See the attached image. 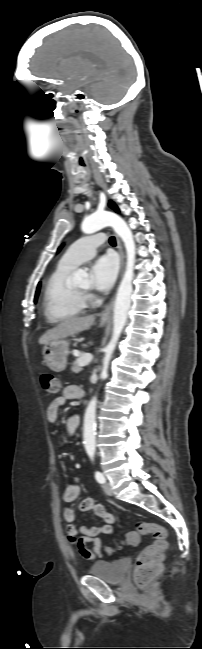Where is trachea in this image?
Instances as JSON below:
<instances>
[{
	"mask_svg": "<svg viewBox=\"0 0 202 649\" xmlns=\"http://www.w3.org/2000/svg\"><path fill=\"white\" fill-rule=\"evenodd\" d=\"M109 243H110L112 246H115V245H116V240H115V238H114V237H110V238H109Z\"/></svg>",
	"mask_w": 202,
	"mask_h": 649,
	"instance_id": "3493384b",
	"label": "trachea"
}]
</instances>
